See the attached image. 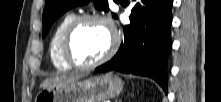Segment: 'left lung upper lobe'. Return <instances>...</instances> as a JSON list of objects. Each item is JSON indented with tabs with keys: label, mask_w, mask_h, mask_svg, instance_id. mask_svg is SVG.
<instances>
[{
	"label": "left lung upper lobe",
	"mask_w": 221,
	"mask_h": 102,
	"mask_svg": "<svg viewBox=\"0 0 221 102\" xmlns=\"http://www.w3.org/2000/svg\"><path fill=\"white\" fill-rule=\"evenodd\" d=\"M90 0H46L45 9L43 11V37L46 36L50 30L53 22L63 15L72 7L86 4ZM96 8L108 11L109 7L106 0H93ZM116 17L115 14H113Z\"/></svg>",
	"instance_id": "1"
}]
</instances>
